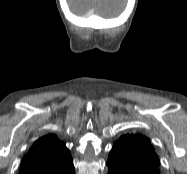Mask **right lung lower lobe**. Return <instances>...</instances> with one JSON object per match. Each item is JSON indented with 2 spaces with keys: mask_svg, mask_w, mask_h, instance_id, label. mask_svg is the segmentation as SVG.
<instances>
[{
  "mask_svg": "<svg viewBox=\"0 0 187 174\" xmlns=\"http://www.w3.org/2000/svg\"><path fill=\"white\" fill-rule=\"evenodd\" d=\"M75 172L73 171V172H71V173H69V174H74Z\"/></svg>",
  "mask_w": 187,
  "mask_h": 174,
  "instance_id": "98d812e1",
  "label": "right lung lower lobe"
}]
</instances>
